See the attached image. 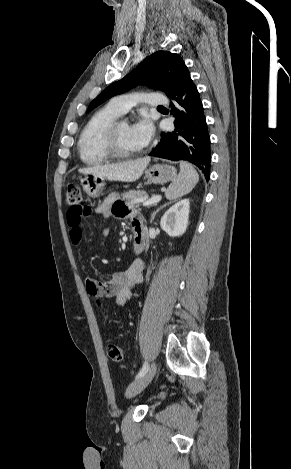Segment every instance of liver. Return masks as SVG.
Wrapping results in <instances>:
<instances>
[{
	"label": "liver",
	"instance_id": "6515ba94",
	"mask_svg": "<svg viewBox=\"0 0 291 469\" xmlns=\"http://www.w3.org/2000/svg\"><path fill=\"white\" fill-rule=\"evenodd\" d=\"M150 160V157H144L118 164L82 168L79 169V172L82 174H91L96 177L108 178L109 180L133 182L141 177Z\"/></svg>",
	"mask_w": 291,
	"mask_h": 469
}]
</instances>
